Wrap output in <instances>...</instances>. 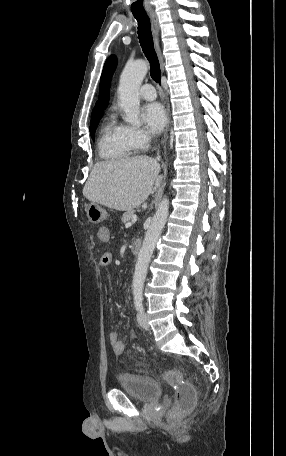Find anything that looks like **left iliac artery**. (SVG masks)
Segmentation results:
<instances>
[{
	"label": "left iliac artery",
	"instance_id": "1",
	"mask_svg": "<svg viewBox=\"0 0 286 456\" xmlns=\"http://www.w3.org/2000/svg\"><path fill=\"white\" fill-rule=\"evenodd\" d=\"M134 294V304L138 311H143V293L142 290L136 289Z\"/></svg>",
	"mask_w": 286,
	"mask_h": 456
}]
</instances>
